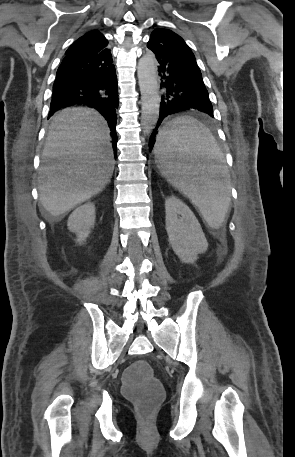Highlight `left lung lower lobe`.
I'll return each mask as SVG.
<instances>
[{"label":"left lung lower lobe","mask_w":295,"mask_h":457,"mask_svg":"<svg viewBox=\"0 0 295 457\" xmlns=\"http://www.w3.org/2000/svg\"><path fill=\"white\" fill-rule=\"evenodd\" d=\"M147 47L160 64L161 87L166 89L161 98L159 121L149 141L151 150L157 141L158 126L166 116L194 109L213 117V108L196 62L154 40H149Z\"/></svg>","instance_id":"1"}]
</instances>
